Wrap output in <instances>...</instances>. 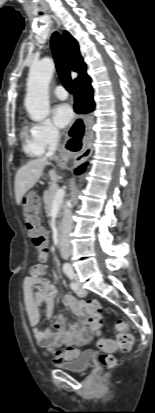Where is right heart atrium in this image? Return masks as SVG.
<instances>
[{
  "label": "right heart atrium",
  "mask_w": 155,
  "mask_h": 413,
  "mask_svg": "<svg viewBox=\"0 0 155 413\" xmlns=\"http://www.w3.org/2000/svg\"><path fill=\"white\" fill-rule=\"evenodd\" d=\"M32 141L41 153L57 144L60 138L58 129L49 119L33 123L30 127Z\"/></svg>",
  "instance_id": "right-heart-atrium-1"
}]
</instances>
